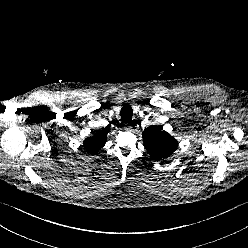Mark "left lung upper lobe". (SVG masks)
<instances>
[{
  "mask_svg": "<svg viewBox=\"0 0 248 248\" xmlns=\"http://www.w3.org/2000/svg\"><path fill=\"white\" fill-rule=\"evenodd\" d=\"M144 146L153 160L169 157L178 147V143L169 133L162 131V127L150 126L143 133Z\"/></svg>",
  "mask_w": 248,
  "mask_h": 248,
  "instance_id": "left-lung-upper-lobe-1",
  "label": "left lung upper lobe"
}]
</instances>
